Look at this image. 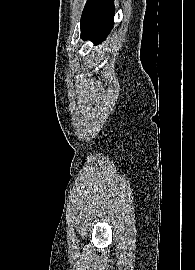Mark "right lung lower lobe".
Listing matches in <instances>:
<instances>
[{"mask_svg":"<svg viewBox=\"0 0 195 270\" xmlns=\"http://www.w3.org/2000/svg\"><path fill=\"white\" fill-rule=\"evenodd\" d=\"M114 0H88L81 17V37L99 44L114 24Z\"/></svg>","mask_w":195,"mask_h":270,"instance_id":"1","label":"right lung lower lobe"}]
</instances>
